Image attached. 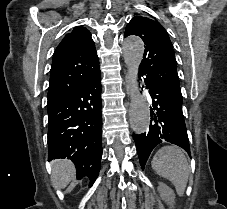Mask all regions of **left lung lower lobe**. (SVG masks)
<instances>
[{
    "label": "left lung lower lobe",
    "mask_w": 227,
    "mask_h": 209,
    "mask_svg": "<svg viewBox=\"0 0 227 209\" xmlns=\"http://www.w3.org/2000/svg\"><path fill=\"white\" fill-rule=\"evenodd\" d=\"M145 80V79H144ZM150 89V96L153 100L149 131L143 134H133L137 153L142 169L155 146L162 142H170L190 154V145L187 129L182 112V98L170 94L168 91L145 80Z\"/></svg>",
    "instance_id": "obj_1"
}]
</instances>
